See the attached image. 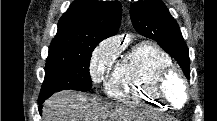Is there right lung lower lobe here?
I'll use <instances>...</instances> for the list:
<instances>
[{
    "instance_id": "1",
    "label": "right lung lower lobe",
    "mask_w": 217,
    "mask_h": 121,
    "mask_svg": "<svg viewBox=\"0 0 217 121\" xmlns=\"http://www.w3.org/2000/svg\"><path fill=\"white\" fill-rule=\"evenodd\" d=\"M45 99H47V98H41V99H39V101H38V104H39V112L41 113L42 111H41V109H42V104H43V102L45 101Z\"/></svg>"
}]
</instances>
